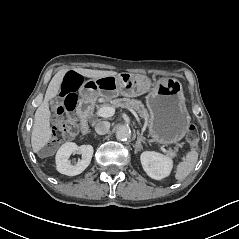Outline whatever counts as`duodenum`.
<instances>
[{
  "mask_svg": "<svg viewBox=\"0 0 239 239\" xmlns=\"http://www.w3.org/2000/svg\"><path fill=\"white\" fill-rule=\"evenodd\" d=\"M81 125L80 130L83 135L87 134L90 127V118L92 114V103L88 98H82L77 106Z\"/></svg>",
  "mask_w": 239,
  "mask_h": 239,
  "instance_id": "410a0bca",
  "label": "duodenum"
}]
</instances>
